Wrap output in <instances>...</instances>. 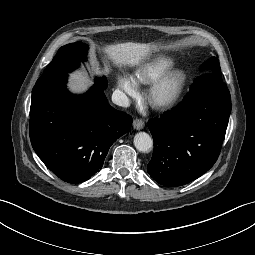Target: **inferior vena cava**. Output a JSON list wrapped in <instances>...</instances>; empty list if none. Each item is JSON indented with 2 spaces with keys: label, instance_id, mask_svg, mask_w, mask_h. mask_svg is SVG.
Masks as SVG:
<instances>
[{
  "label": "inferior vena cava",
  "instance_id": "inferior-vena-cava-1",
  "mask_svg": "<svg viewBox=\"0 0 255 255\" xmlns=\"http://www.w3.org/2000/svg\"><path fill=\"white\" fill-rule=\"evenodd\" d=\"M112 102L121 107H128L130 105L129 98L120 90H115L113 92Z\"/></svg>",
  "mask_w": 255,
  "mask_h": 255
}]
</instances>
